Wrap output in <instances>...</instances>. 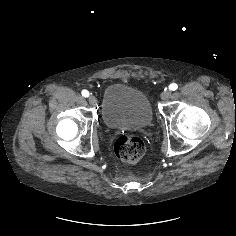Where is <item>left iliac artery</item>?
<instances>
[{
  "mask_svg": "<svg viewBox=\"0 0 236 236\" xmlns=\"http://www.w3.org/2000/svg\"><path fill=\"white\" fill-rule=\"evenodd\" d=\"M178 88V85L176 83H172L169 85V89L172 91H175Z\"/></svg>",
  "mask_w": 236,
  "mask_h": 236,
  "instance_id": "left-iliac-artery-1",
  "label": "left iliac artery"
}]
</instances>
